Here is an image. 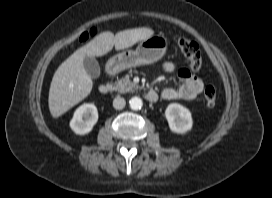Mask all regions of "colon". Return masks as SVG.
I'll return each instance as SVG.
<instances>
[{"instance_id":"5ec220e1","label":"colon","mask_w":272,"mask_h":198,"mask_svg":"<svg viewBox=\"0 0 272 198\" xmlns=\"http://www.w3.org/2000/svg\"><path fill=\"white\" fill-rule=\"evenodd\" d=\"M95 34L94 30L88 33H84L80 40L86 41ZM178 46L188 61L189 69L196 72L202 65V56L199 49V45L190 39L179 37L177 40ZM217 98L216 90L213 86L207 85L203 90V102L206 106H214Z\"/></svg>"}]
</instances>
